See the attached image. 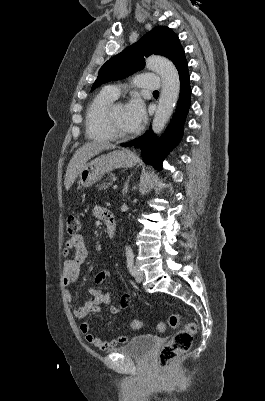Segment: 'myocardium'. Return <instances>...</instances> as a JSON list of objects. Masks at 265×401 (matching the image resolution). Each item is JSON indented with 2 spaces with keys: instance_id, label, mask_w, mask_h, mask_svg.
I'll return each instance as SVG.
<instances>
[{
  "instance_id": "f54148a6",
  "label": "myocardium",
  "mask_w": 265,
  "mask_h": 401,
  "mask_svg": "<svg viewBox=\"0 0 265 401\" xmlns=\"http://www.w3.org/2000/svg\"><path fill=\"white\" fill-rule=\"evenodd\" d=\"M117 105H119V104L113 103L108 108V110L105 113L104 119H103V125L112 139H119V138L128 139V138H130L131 133H129L127 135H121V134L117 133L115 126L113 124V115H114V111H115V108Z\"/></svg>"
}]
</instances>
